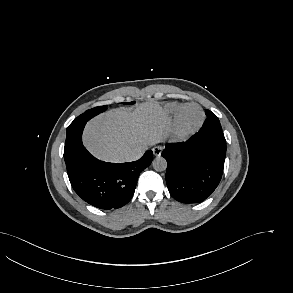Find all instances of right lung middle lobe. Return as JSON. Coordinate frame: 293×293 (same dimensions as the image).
I'll return each instance as SVG.
<instances>
[{
  "label": "right lung middle lobe",
  "instance_id": "dd1d6c3e",
  "mask_svg": "<svg viewBox=\"0 0 293 293\" xmlns=\"http://www.w3.org/2000/svg\"><path fill=\"white\" fill-rule=\"evenodd\" d=\"M133 103L134 102H130L128 104H133ZM105 110H106V105L105 106H98V107L92 108L90 110H87L86 112H84L83 114L78 116L75 120H80V119H84V118H92L93 116H95Z\"/></svg>",
  "mask_w": 293,
  "mask_h": 293
}]
</instances>
